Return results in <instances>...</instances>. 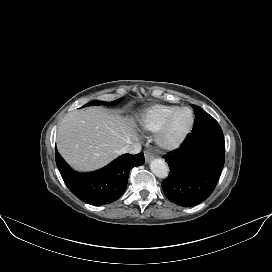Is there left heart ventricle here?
I'll return each mask as SVG.
<instances>
[{
	"label": "left heart ventricle",
	"mask_w": 272,
	"mask_h": 272,
	"mask_svg": "<svg viewBox=\"0 0 272 272\" xmlns=\"http://www.w3.org/2000/svg\"><path fill=\"white\" fill-rule=\"evenodd\" d=\"M189 119H190V113L188 111L183 110L177 113L171 123V128H170L171 134L175 135L181 132L187 125Z\"/></svg>",
	"instance_id": "left-heart-ventricle-1"
}]
</instances>
